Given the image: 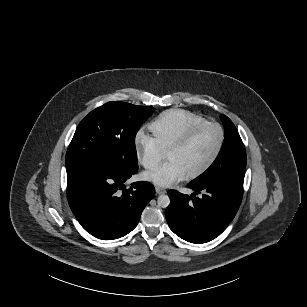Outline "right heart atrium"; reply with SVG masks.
<instances>
[{"label": "right heart atrium", "instance_id": "1", "mask_svg": "<svg viewBox=\"0 0 307 307\" xmlns=\"http://www.w3.org/2000/svg\"><path fill=\"white\" fill-rule=\"evenodd\" d=\"M136 159L146 169H154L162 160L163 153L152 137L137 136L133 141Z\"/></svg>", "mask_w": 307, "mask_h": 307}]
</instances>
